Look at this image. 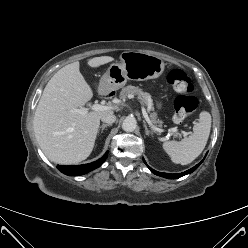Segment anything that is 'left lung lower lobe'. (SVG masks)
I'll list each match as a JSON object with an SVG mask.
<instances>
[{"mask_svg":"<svg viewBox=\"0 0 248 248\" xmlns=\"http://www.w3.org/2000/svg\"><path fill=\"white\" fill-rule=\"evenodd\" d=\"M203 160H204V159H203ZM203 160H202L199 164H197L196 166H194L193 168H191V169H189V170H187V171H185V172H183V173L169 174V173L158 172V171H156V170L150 168V167L146 164L145 160L143 159L144 163L148 166V168L150 169V171H151L152 173H154V174H156V175H158V176H161V177L168 178V179H177V178H180V177H182V176H184V175H187V174L192 173L193 171H195V170L199 167V165L203 162Z\"/></svg>","mask_w":248,"mask_h":248,"instance_id":"1","label":"left lung lower lobe"}]
</instances>
